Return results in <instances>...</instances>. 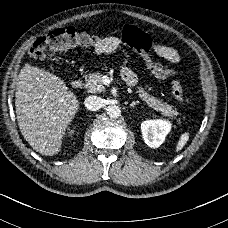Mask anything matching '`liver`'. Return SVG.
Wrapping results in <instances>:
<instances>
[{"instance_id":"6515ba94","label":"liver","mask_w":228,"mask_h":228,"mask_svg":"<svg viewBox=\"0 0 228 228\" xmlns=\"http://www.w3.org/2000/svg\"><path fill=\"white\" fill-rule=\"evenodd\" d=\"M15 107L27 143L44 156H55L80 102L60 78L27 63L20 71Z\"/></svg>"}]
</instances>
